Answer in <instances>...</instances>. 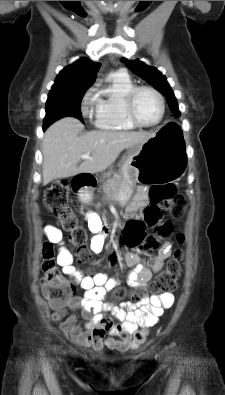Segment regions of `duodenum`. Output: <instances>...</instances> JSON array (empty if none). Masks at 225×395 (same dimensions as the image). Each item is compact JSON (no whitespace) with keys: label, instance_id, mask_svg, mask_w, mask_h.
Here are the masks:
<instances>
[{"label":"duodenum","instance_id":"duodenum-1","mask_svg":"<svg viewBox=\"0 0 225 395\" xmlns=\"http://www.w3.org/2000/svg\"><path fill=\"white\" fill-rule=\"evenodd\" d=\"M76 189L90 188L92 186V179L85 174H79L75 178Z\"/></svg>","mask_w":225,"mask_h":395}]
</instances>
